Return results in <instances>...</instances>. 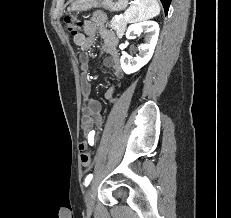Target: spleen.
<instances>
[{"label": "spleen", "instance_id": "obj_1", "mask_svg": "<svg viewBox=\"0 0 231 218\" xmlns=\"http://www.w3.org/2000/svg\"><path fill=\"white\" fill-rule=\"evenodd\" d=\"M160 5L157 0H134L124 14L128 23L138 22L159 15Z\"/></svg>", "mask_w": 231, "mask_h": 218}]
</instances>
